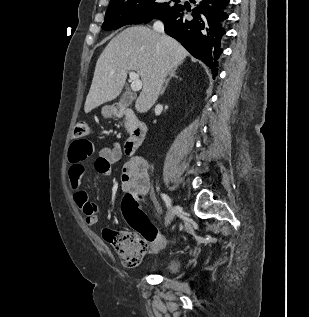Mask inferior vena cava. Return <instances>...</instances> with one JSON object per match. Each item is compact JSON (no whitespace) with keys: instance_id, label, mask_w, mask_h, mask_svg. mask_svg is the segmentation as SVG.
<instances>
[{"instance_id":"obj_1","label":"inferior vena cava","mask_w":309,"mask_h":317,"mask_svg":"<svg viewBox=\"0 0 309 317\" xmlns=\"http://www.w3.org/2000/svg\"><path fill=\"white\" fill-rule=\"evenodd\" d=\"M153 29H154L156 32L164 33V24H163L161 21H156V22L153 24Z\"/></svg>"}]
</instances>
